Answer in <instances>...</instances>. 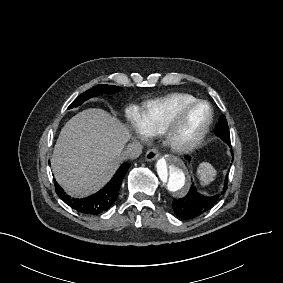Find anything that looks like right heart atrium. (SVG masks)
Wrapping results in <instances>:
<instances>
[{
  "instance_id": "d8ad5b80",
  "label": "right heart atrium",
  "mask_w": 283,
  "mask_h": 283,
  "mask_svg": "<svg viewBox=\"0 0 283 283\" xmlns=\"http://www.w3.org/2000/svg\"><path fill=\"white\" fill-rule=\"evenodd\" d=\"M121 129L124 133L125 142L138 146H146L149 143V132L140 114L129 107L124 111Z\"/></svg>"
}]
</instances>
